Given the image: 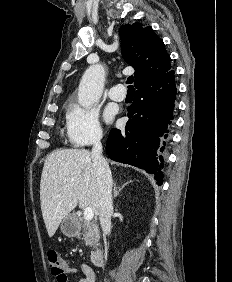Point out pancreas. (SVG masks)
I'll list each match as a JSON object with an SVG mask.
<instances>
[{"label":"pancreas","instance_id":"obj_1","mask_svg":"<svg viewBox=\"0 0 232 282\" xmlns=\"http://www.w3.org/2000/svg\"><path fill=\"white\" fill-rule=\"evenodd\" d=\"M82 227H83V232H84L83 236L86 245L89 246L97 245L100 238V232L97 224L94 222L83 220Z\"/></svg>","mask_w":232,"mask_h":282}]
</instances>
